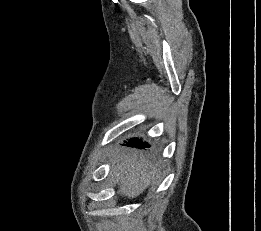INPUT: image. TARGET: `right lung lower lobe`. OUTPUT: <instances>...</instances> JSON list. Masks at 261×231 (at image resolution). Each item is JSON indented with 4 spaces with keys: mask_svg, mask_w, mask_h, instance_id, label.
<instances>
[{
    "mask_svg": "<svg viewBox=\"0 0 261 231\" xmlns=\"http://www.w3.org/2000/svg\"><path fill=\"white\" fill-rule=\"evenodd\" d=\"M125 145L129 147H136L139 149H141L142 147H149V145L146 142L143 143L141 140L138 139H130L128 143Z\"/></svg>",
    "mask_w": 261,
    "mask_h": 231,
    "instance_id": "98d812e1",
    "label": "right lung lower lobe"
}]
</instances>
